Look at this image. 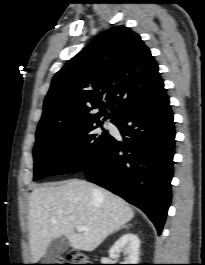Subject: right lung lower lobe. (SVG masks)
<instances>
[{
    "mask_svg": "<svg viewBox=\"0 0 205 265\" xmlns=\"http://www.w3.org/2000/svg\"><path fill=\"white\" fill-rule=\"evenodd\" d=\"M113 123L126 136L123 142L111 137L83 171L91 182L142 209L160 234L171 200L175 144L165 89Z\"/></svg>",
    "mask_w": 205,
    "mask_h": 265,
    "instance_id": "obj_1",
    "label": "right lung lower lobe"
}]
</instances>
